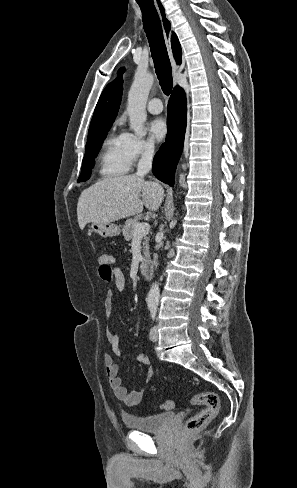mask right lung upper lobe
<instances>
[{
    "mask_svg": "<svg viewBox=\"0 0 297 488\" xmlns=\"http://www.w3.org/2000/svg\"><path fill=\"white\" fill-rule=\"evenodd\" d=\"M171 43L174 58L177 64H180L181 47L174 32L172 33ZM122 85L123 79L122 77H118L105 88L96 105L89 132L98 126L112 124L114 122L122 99Z\"/></svg>",
    "mask_w": 297,
    "mask_h": 488,
    "instance_id": "1",
    "label": "right lung upper lobe"
}]
</instances>
